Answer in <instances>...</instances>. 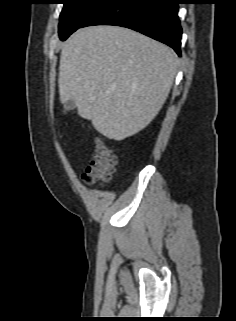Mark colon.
<instances>
[{
    "mask_svg": "<svg viewBox=\"0 0 236 321\" xmlns=\"http://www.w3.org/2000/svg\"><path fill=\"white\" fill-rule=\"evenodd\" d=\"M116 163L117 157L113 150L101 138L97 137L92 159L82 175L84 183L96 185L109 181Z\"/></svg>",
    "mask_w": 236,
    "mask_h": 321,
    "instance_id": "colon-1",
    "label": "colon"
}]
</instances>
